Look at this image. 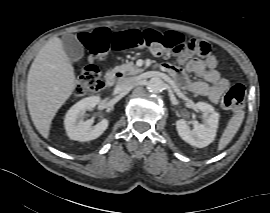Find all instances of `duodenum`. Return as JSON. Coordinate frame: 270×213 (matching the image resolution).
<instances>
[{
	"label": "duodenum",
	"mask_w": 270,
	"mask_h": 213,
	"mask_svg": "<svg viewBox=\"0 0 270 213\" xmlns=\"http://www.w3.org/2000/svg\"><path fill=\"white\" fill-rule=\"evenodd\" d=\"M123 78V74L119 71H111L105 77V86L110 87L118 83Z\"/></svg>",
	"instance_id": "1"
}]
</instances>
